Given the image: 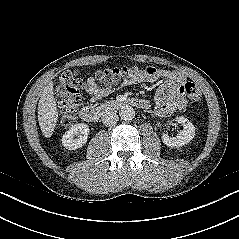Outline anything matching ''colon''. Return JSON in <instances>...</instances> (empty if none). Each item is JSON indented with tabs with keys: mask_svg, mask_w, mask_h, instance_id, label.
<instances>
[{
	"mask_svg": "<svg viewBox=\"0 0 239 239\" xmlns=\"http://www.w3.org/2000/svg\"><path fill=\"white\" fill-rule=\"evenodd\" d=\"M134 74L133 68L120 67L98 70L95 72V77L102 87L110 88L127 81ZM181 89L186 92L191 103H200L201 92L195 84L186 83ZM56 95L60 104L62 125L66 127L73 125L76 122L81 102V81L77 72L67 71L60 76Z\"/></svg>",
	"mask_w": 239,
	"mask_h": 239,
	"instance_id": "1",
	"label": "colon"
}]
</instances>
